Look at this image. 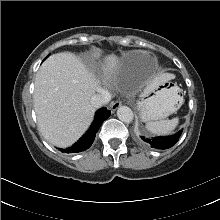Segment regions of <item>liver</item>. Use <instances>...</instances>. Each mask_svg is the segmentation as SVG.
Returning a JSON list of instances; mask_svg holds the SVG:
<instances>
[{"instance_id": "obj_1", "label": "liver", "mask_w": 220, "mask_h": 220, "mask_svg": "<svg viewBox=\"0 0 220 220\" xmlns=\"http://www.w3.org/2000/svg\"><path fill=\"white\" fill-rule=\"evenodd\" d=\"M104 63V73L110 76L119 58L110 54ZM170 79L172 76L168 74L156 78L146 92ZM99 84L72 53H56L43 62L35 78L34 108L39 130L51 144L68 147L87 130L95 111L91 98L102 91Z\"/></svg>"}]
</instances>
